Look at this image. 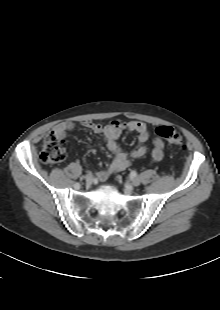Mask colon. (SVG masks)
<instances>
[{
    "mask_svg": "<svg viewBox=\"0 0 220 310\" xmlns=\"http://www.w3.org/2000/svg\"><path fill=\"white\" fill-rule=\"evenodd\" d=\"M155 133L158 137L165 139L171 144L180 145L182 134L171 126H159ZM66 157V149L62 138L51 132L46 135L41 151V158L46 163H59Z\"/></svg>",
    "mask_w": 220,
    "mask_h": 310,
    "instance_id": "1",
    "label": "colon"
}]
</instances>
